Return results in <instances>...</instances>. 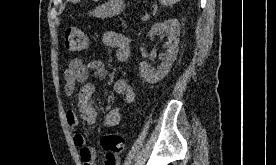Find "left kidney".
<instances>
[{
	"label": "left kidney",
	"instance_id": "1",
	"mask_svg": "<svg viewBox=\"0 0 276 165\" xmlns=\"http://www.w3.org/2000/svg\"><path fill=\"white\" fill-rule=\"evenodd\" d=\"M167 33L168 41L165 44L167 51L162 59L159 69H154L145 61L140 63L141 77L149 83H156L163 79L170 71L178 53L180 36V24L177 19H168L164 22L155 23L148 32L149 37L158 33Z\"/></svg>",
	"mask_w": 276,
	"mask_h": 165
}]
</instances>
